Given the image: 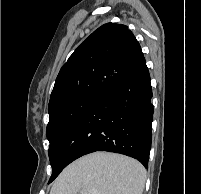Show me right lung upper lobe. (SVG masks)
I'll list each match as a JSON object with an SVG mask.
<instances>
[{
  "label": "right lung upper lobe",
  "mask_w": 201,
  "mask_h": 194,
  "mask_svg": "<svg viewBox=\"0 0 201 194\" xmlns=\"http://www.w3.org/2000/svg\"><path fill=\"white\" fill-rule=\"evenodd\" d=\"M145 61L140 44L127 26L106 23L95 30L62 66L48 111L86 95H101Z\"/></svg>",
  "instance_id": "obj_1"
}]
</instances>
